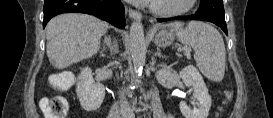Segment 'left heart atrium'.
<instances>
[{"label": "left heart atrium", "instance_id": "obj_1", "mask_svg": "<svg viewBox=\"0 0 273 118\" xmlns=\"http://www.w3.org/2000/svg\"><path fill=\"white\" fill-rule=\"evenodd\" d=\"M132 1L141 5H154L157 2V0H132Z\"/></svg>", "mask_w": 273, "mask_h": 118}]
</instances>
